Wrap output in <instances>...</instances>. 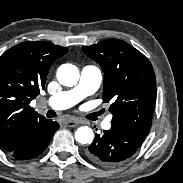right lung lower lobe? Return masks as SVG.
Returning a JSON list of instances; mask_svg holds the SVG:
<instances>
[{"label":"right lung lower lobe","mask_w":183,"mask_h":183,"mask_svg":"<svg viewBox=\"0 0 183 183\" xmlns=\"http://www.w3.org/2000/svg\"><path fill=\"white\" fill-rule=\"evenodd\" d=\"M59 124L46 118L27 126L19 139L17 147L6 152L17 160H28L40 155L48 146Z\"/></svg>","instance_id":"98d812e1"}]
</instances>
